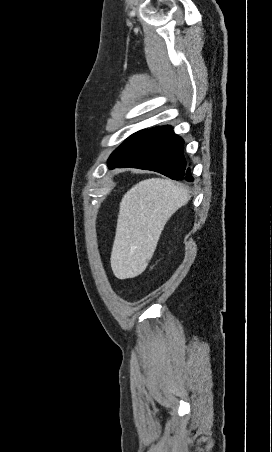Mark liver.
<instances>
[{
  "instance_id": "obj_1",
  "label": "liver",
  "mask_w": 272,
  "mask_h": 452,
  "mask_svg": "<svg viewBox=\"0 0 272 452\" xmlns=\"http://www.w3.org/2000/svg\"><path fill=\"white\" fill-rule=\"evenodd\" d=\"M188 200L184 187L162 178L143 180L123 196L111 252L115 277L123 280L144 272L165 224Z\"/></svg>"
}]
</instances>
